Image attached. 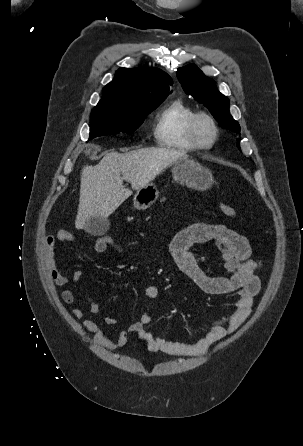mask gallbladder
<instances>
[{
  "label": "gallbladder",
  "mask_w": 303,
  "mask_h": 446,
  "mask_svg": "<svg viewBox=\"0 0 303 446\" xmlns=\"http://www.w3.org/2000/svg\"><path fill=\"white\" fill-rule=\"evenodd\" d=\"M109 229V221L105 218L93 217L87 221L86 231L92 235L100 236Z\"/></svg>",
  "instance_id": "obj_1"
}]
</instances>
